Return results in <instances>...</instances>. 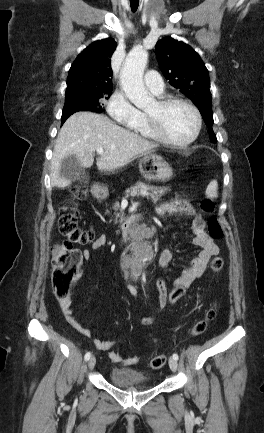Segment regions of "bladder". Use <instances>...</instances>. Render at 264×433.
I'll list each match as a JSON object with an SVG mask.
<instances>
[{"label": "bladder", "mask_w": 264, "mask_h": 433, "mask_svg": "<svg viewBox=\"0 0 264 433\" xmlns=\"http://www.w3.org/2000/svg\"><path fill=\"white\" fill-rule=\"evenodd\" d=\"M112 384L125 388H148V378L143 373L128 368H112L109 372Z\"/></svg>", "instance_id": "31cf9c89"}]
</instances>
